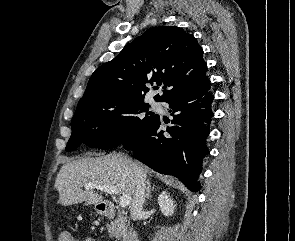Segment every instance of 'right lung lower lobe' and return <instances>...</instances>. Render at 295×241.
<instances>
[{
	"instance_id": "right-lung-lower-lobe-1",
	"label": "right lung lower lobe",
	"mask_w": 295,
	"mask_h": 241,
	"mask_svg": "<svg viewBox=\"0 0 295 241\" xmlns=\"http://www.w3.org/2000/svg\"><path fill=\"white\" fill-rule=\"evenodd\" d=\"M210 81L177 93L164 102L169 104L171 121L159 116L141 133L123 143L134 156L155 171L177 177L193 192L200 189L197 182L203 158L209 154L206 138L213 112L214 96ZM163 123L169 124L161 130Z\"/></svg>"
}]
</instances>
